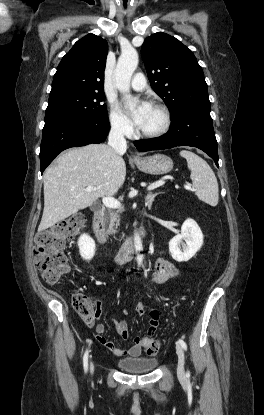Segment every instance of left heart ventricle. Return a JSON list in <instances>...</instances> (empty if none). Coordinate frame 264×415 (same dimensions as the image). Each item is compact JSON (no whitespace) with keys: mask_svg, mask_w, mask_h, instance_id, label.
Returning a JSON list of instances; mask_svg holds the SVG:
<instances>
[{"mask_svg":"<svg viewBox=\"0 0 264 415\" xmlns=\"http://www.w3.org/2000/svg\"><path fill=\"white\" fill-rule=\"evenodd\" d=\"M163 117L159 109L151 106L150 110L144 117L139 130L142 132H152L157 130L162 125Z\"/></svg>","mask_w":264,"mask_h":415,"instance_id":"b2bd125f","label":"left heart ventricle"}]
</instances>
